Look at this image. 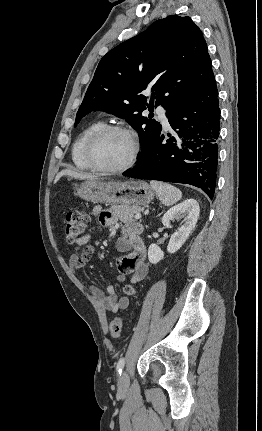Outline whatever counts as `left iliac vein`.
Here are the masks:
<instances>
[{
  "mask_svg": "<svg viewBox=\"0 0 262 431\" xmlns=\"http://www.w3.org/2000/svg\"><path fill=\"white\" fill-rule=\"evenodd\" d=\"M118 384L121 389H126L128 387V376L125 371L120 374Z\"/></svg>",
  "mask_w": 262,
  "mask_h": 431,
  "instance_id": "1",
  "label": "left iliac vein"
}]
</instances>
